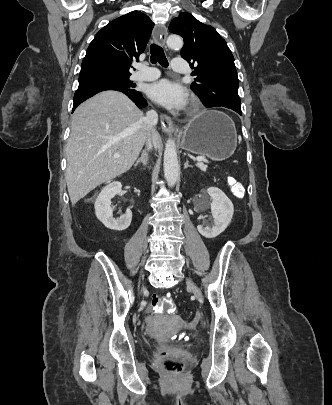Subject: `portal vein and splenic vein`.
Here are the masks:
<instances>
[{
	"label": "portal vein and splenic vein",
	"instance_id": "18ae733b",
	"mask_svg": "<svg viewBox=\"0 0 332 405\" xmlns=\"http://www.w3.org/2000/svg\"><path fill=\"white\" fill-rule=\"evenodd\" d=\"M114 156H115V157H118L119 154H118V153H115ZM195 160L197 161V164H196L197 166L203 167V168L205 169V166H204L203 163H202L203 161L206 162V160H205L204 158H202V157H196Z\"/></svg>",
	"mask_w": 332,
	"mask_h": 405
}]
</instances>
